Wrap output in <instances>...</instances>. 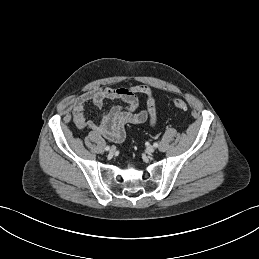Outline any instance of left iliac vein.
Here are the masks:
<instances>
[{
  "instance_id": "1",
  "label": "left iliac vein",
  "mask_w": 259,
  "mask_h": 259,
  "mask_svg": "<svg viewBox=\"0 0 259 259\" xmlns=\"http://www.w3.org/2000/svg\"><path fill=\"white\" fill-rule=\"evenodd\" d=\"M154 151H155V147H154V146L149 145V146L147 147V152H148L149 154L153 153Z\"/></svg>"
}]
</instances>
